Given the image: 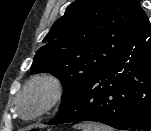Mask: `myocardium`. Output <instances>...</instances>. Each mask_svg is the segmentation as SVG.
<instances>
[{
	"label": "myocardium",
	"instance_id": "f54148a6",
	"mask_svg": "<svg viewBox=\"0 0 151 131\" xmlns=\"http://www.w3.org/2000/svg\"><path fill=\"white\" fill-rule=\"evenodd\" d=\"M34 91H38L42 94V101L34 111L26 114L22 110V102ZM63 96L64 85L62 80L54 74L42 73L33 76L26 82L16 96L15 107L22 117L32 119L52 110L62 100Z\"/></svg>",
	"mask_w": 151,
	"mask_h": 131
}]
</instances>
